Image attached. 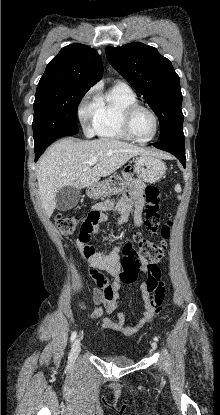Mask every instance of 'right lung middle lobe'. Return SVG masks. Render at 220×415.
Returning a JSON list of instances; mask_svg holds the SVG:
<instances>
[{
    "mask_svg": "<svg viewBox=\"0 0 220 415\" xmlns=\"http://www.w3.org/2000/svg\"><path fill=\"white\" fill-rule=\"evenodd\" d=\"M88 90L61 84L37 86L32 124L35 150L48 147L59 137L78 132V104Z\"/></svg>",
    "mask_w": 220,
    "mask_h": 415,
    "instance_id": "obj_1",
    "label": "right lung middle lobe"
}]
</instances>
